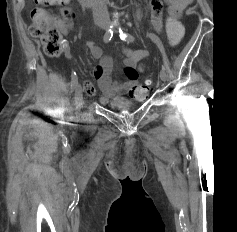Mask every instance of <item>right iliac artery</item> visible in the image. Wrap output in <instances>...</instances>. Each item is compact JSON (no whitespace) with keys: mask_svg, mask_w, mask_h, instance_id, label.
<instances>
[{"mask_svg":"<svg viewBox=\"0 0 237 232\" xmlns=\"http://www.w3.org/2000/svg\"><path fill=\"white\" fill-rule=\"evenodd\" d=\"M113 36V27L111 26L107 31L106 33L104 34V37H103V41L105 43L109 42L111 40ZM78 85V78H77V75L74 71H72V74H71V89L72 91L74 89H76Z\"/></svg>","mask_w":237,"mask_h":232,"instance_id":"right-iliac-artery-1","label":"right iliac artery"}]
</instances>
